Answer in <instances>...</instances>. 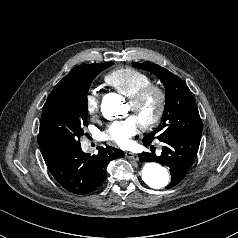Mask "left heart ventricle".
Segmentation results:
<instances>
[{"label":"left heart ventricle","mask_w":238,"mask_h":238,"mask_svg":"<svg viewBox=\"0 0 238 238\" xmlns=\"http://www.w3.org/2000/svg\"><path fill=\"white\" fill-rule=\"evenodd\" d=\"M156 100L155 97H150L144 105L138 110L134 111L130 105H128L127 113L136 119L138 123L149 118L155 111Z\"/></svg>","instance_id":"1"}]
</instances>
